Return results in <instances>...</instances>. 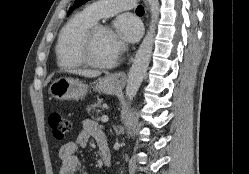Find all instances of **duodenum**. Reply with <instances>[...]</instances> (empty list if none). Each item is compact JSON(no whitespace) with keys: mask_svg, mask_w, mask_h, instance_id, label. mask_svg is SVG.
<instances>
[{"mask_svg":"<svg viewBox=\"0 0 249 174\" xmlns=\"http://www.w3.org/2000/svg\"><path fill=\"white\" fill-rule=\"evenodd\" d=\"M101 158L106 167H111L112 160H111V152L108 147V143H100L99 144Z\"/></svg>","mask_w":249,"mask_h":174,"instance_id":"obj_1","label":"duodenum"}]
</instances>
